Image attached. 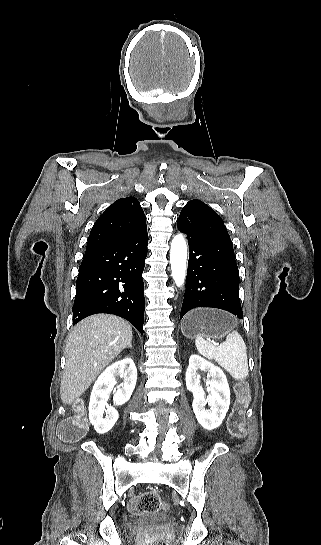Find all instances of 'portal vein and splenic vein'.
I'll use <instances>...</instances> for the list:
<instances>
[{
  "mask_svg": "<svg viewBox=\"0 0 321 545\" xmlns=\"http://www.w3.org/2000/svg\"><path fill=\"white\" fill-rule=\"evenodd\" d=\"M212 344L214 345L213 347H214L215 349L218 348V347H220V345H221L219 339H214V340L212 341Z\"/></svg>",
  "mask_w": 321,
  "mask_h": 545,
  "instance_id": "18ae733b",
  "label": "portal vein and splenic vein"
}]
</instances>
